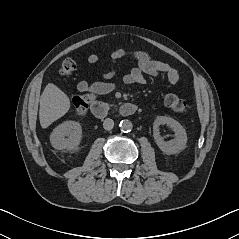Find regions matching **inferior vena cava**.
I'll return each mask as SVG.
<instances>
[{
    "label": "inferior vena cava",
    "instance_id": "1",
    "mask_svg": "<svg viewBox=\"0 0 239 239\" xmlns=\"http://www.w3.org/2000/svg\"><path fill=\"white\" fill-rule=\"evenodd\" d=\"M113 126H114V121L112 120V119H110V118H106L105 120H104V122H103V128L105 129V130H111L112 128H113Z\"/></svg>",
    "mask_w": 239,
    "mask_h": 239
}]
</instances>
